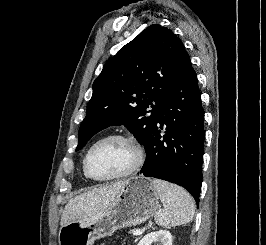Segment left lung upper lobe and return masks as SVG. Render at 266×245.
Instances as JSON below:
<instances>
[{"mask_svg": "<svg viewBox=\"0 0 266 245\" xmlns=\"http://www.w3.org/2000/svg\"><path fill=\"white\" fill-rule=\"evenodd\" d=\"M189 59L181 40L160 25L126 44L93 83L76 151L102 129L122 124L146 149L159 108Z\"/></svg>", "mask_w": 266, "mask_h": 245, "instance_id": "left-lung-upper-lobe-1", "label": "left lung upper lobe"}]
</instances>
